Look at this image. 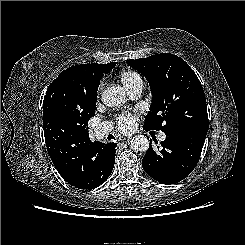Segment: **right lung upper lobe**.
<instances>
[{"mask_svg":"<svg viewBox=\"0 0 245 245\" xmlns=\"http://www.w3.org/2000/svg\"><path fill=\"white\" fill-rule=\"evenodd\" d=\"M116 62L72 66L49 85L43 101L45 140L73 141L85 136L95 114L100 79Z\"/></svg>","mask_w":245,"mask_h":245,"instance_id":"obj_1","label":"right lung upper lobe"}]
</instances>
